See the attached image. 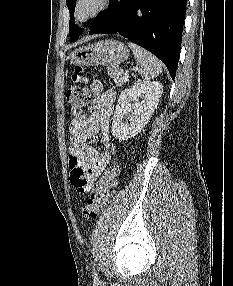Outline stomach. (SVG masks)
I'll return each mask as SVG.
<instances>
[{
  "mask_svg": "<svg viewBox=\"0 0 233 286\" xmlns=\"http://www.w3.org/2000/svg\"><path fill=\"white\" fill-rule=\"evenodd\" d=\"M129 57L127 47L116 40H103L72 51L68 59L73 65H104L117 68Z\"/></svg>",
  "mask_w": 233,
  "mask_h": 286,
  "instance_id": "stomach-1",
  "label": "stomach"
}]
</instances>
